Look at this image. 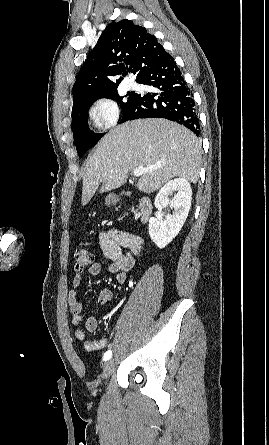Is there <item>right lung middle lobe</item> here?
Segmentation results:
<instances>
[{
	"instance_id": "obj_1",
	"label": "right lung middle lobe",
	"mask_w": 269,
	"mask_h": 445,
	"mask_svg": "<svg viewBox=\"0 0 269 445\" xmlns=\"http://www.w3.org/2000/svg\"><path fill=\"white\" fill-rule=\"evenodd\" d=\"M138 94L127 93L124 97L119 96L117 90L93 97L72 108V130L74 143L79 157H82L86 151L93 147L104 135V133H94L89 130L87 124V114L89 107L99 98H110L120 103L123 110L121 122H124L134 105Z\"/></svg>"
}]
</instances>
